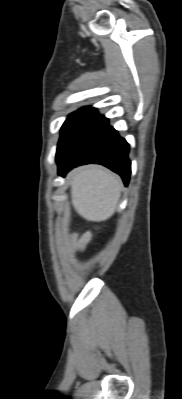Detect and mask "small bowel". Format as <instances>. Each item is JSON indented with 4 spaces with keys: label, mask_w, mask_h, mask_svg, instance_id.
<instances>
[{
    "label": "small bowel",
    "mask_w": 182,
    "mask_h": 399,
    "mask_svg": "<svg viewBox=\"0 0 182 399\" xmlns=\"http://www.w3.org/2000/svg\"><path fill=\"white\" fill-rule=\"evenodd\" d=\"M91 238L92 234L90 232L74 235L70 240V249L77 253L84 252L86 246L91 241Z\"/></svg>",
    "instance_id": "small-bowel-1"
}]
</instances>
